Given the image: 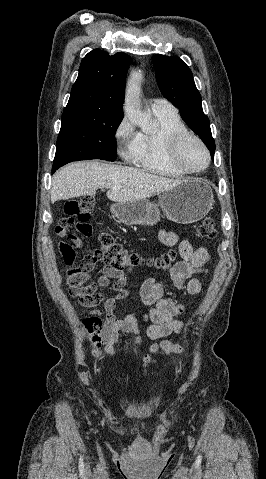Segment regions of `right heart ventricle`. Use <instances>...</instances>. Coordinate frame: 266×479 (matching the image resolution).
I'll return each instance as SVG.
<instances>
[{"label": "right heart ventricle", "mask_w": 266, "mask_h": 479, "mask_svg": "<svg viewBox=\"0 0 266 479\" xmlns=\"http://www.w3.org/2000/svg\"><path fill=\"white\" fill-rule=\"evenodd\" d=\"M159 128L155 132L137 134L133 162L143 170L165 177H180L184 173L167 159L166 142L170 134L187 128L176 112H154Z\"/></svg>", "instance_id": "right-heart-ventricle-1"}]
</instances>
